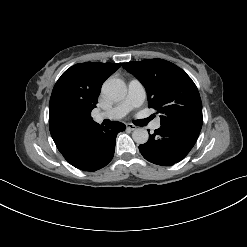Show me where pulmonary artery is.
Segmentation results:
<instances>
[{"mask_svg":"<svg viewBox=\"0 0 247 247\" xmlns=\"http://www.w3.org/2000/svg\"><path fill=\"white\" fill-rule=\"evenodd\" d=\"M145 99V90L142 83L137 79H132L128 83V93L123 101L109 110L99 112L95 115L96 121L104 119L117 120L124 117L133 108L139 107ZM160 127V120L157 119L152 123L153 129Z\"/></svg>","mask_w":247,"mask_h":247,"instance_id":"e3ab8cb5","label":"pulmonary artery"}]
</instances>
